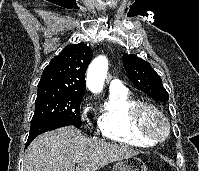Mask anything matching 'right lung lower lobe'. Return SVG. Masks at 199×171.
<instances>
[{
    "mask_svg": "<svg viewBox=\"0 0 199 171\" xmlns=\"http://www.w3.org/2000/svg\"><path fill=\"white\" fill-rule=\"evenodd\" d=\"M68 125L72 124L70 122L61 119H43V120H38L35 123H32L25 148L28 147V145L32 142V140L35 137H37L39 134Z\"/></svg>",
    "mask_w": 199,
    "mask_h": 171,
    "instance_id": "obj_1",
    "label": "right lung lower lobe"
}]
</instances>
